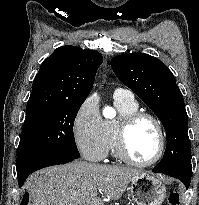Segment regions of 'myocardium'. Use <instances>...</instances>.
Returning a JSON list of instances; mask_svg holds the SVG:
<instances>
[{
    "instance_id": "f54148a6",
    "label": "myocardium",
    "mask_w": 199,
    "mask_h": 205,
    "mask_svg": "<svg viewBox=\"0 0 199 205\" xmlns=\"http://www.w3.org/2000/svg\"><path fill=\"white\" fill-rule=\"evenodd\" d=\"M150 120L156 127L159 135V147L156 155L145 162H140L132 158L127 149V134L130 128L139 120ZM166 134L160 120L151 113L135 111L121 116L115 127V151L118 158L125 163L136 167H148L157 163L164 155L166 149Z\"/></svg>"
}]
</instances>
